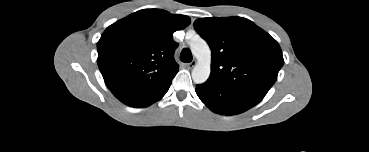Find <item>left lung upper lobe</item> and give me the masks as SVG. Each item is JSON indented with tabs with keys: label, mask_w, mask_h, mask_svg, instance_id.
Returning a JSON list of instances; mask_svg holds the SVG:
<instances>
[{
	"label": "left lung upper lobe",
	"mask_w": 369,
	"mask_h": 152,
	"mask_svg": "<svg viewBox=\"0 0 369 152\" xmlns=\"http://www.w3.org/2000/svg\"><path fill=\"white\" fill-rule=\"evenodd\" d=\"M194 28L212 52L208 81L264 97L284 64L277 41L242 17L204 18Z\"/></svg>",
	"instance_id": "left-lung-upper-lobe-1"
}]
</instances>
